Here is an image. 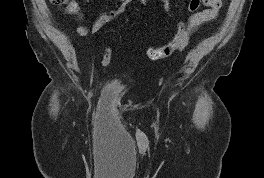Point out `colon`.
<instances>
[{
  "mask_svg": "<svg viewBox=\"0 0 264 178\" xmlns=\"http://www.w3.org/2000/svg\"><path fill=\"white\" fill-rule=\"evenodd\" d=\"M54 5L65 7L70 13H76L78 7L73 0H50ZM205 0H190L187 13L191 17L197 12L201 5H204ZM193 30L189 25V21H181L178 24L176 33L172 39L164 46L157 48H149L147 56L151 60H160L171 56L175 51L185 48L190 40ZM112 61V50L106 48L102 55V62L104 65H109Z\"/></svg>",
  "mask_w": 264,
  "mask_h": 178,
  "instance_id": "1",
  "label": "colon"
}]
</instances>
